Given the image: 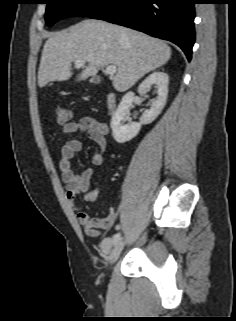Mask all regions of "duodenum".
<instances>
[{
  "mask_svg": "<svg viewBox=\"0 0 236 321\" xmlns=\"http://www.w3.org/2000/svg\"><path fill=\"white\" fill-rule=\"evenodd\" d=\"M107 107L110 113H113L117 107L116 96L113 93H109L106 98Z\"/></svg>",
  "mask_w": 236,
  "mask_h": 321,
  "instance_id": "obj_1",
  "label": "duodenum"
}]
</instances>
